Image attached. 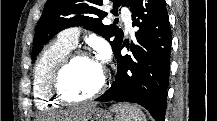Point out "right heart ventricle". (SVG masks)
I'll list each match as a JSON object with an SVG mask.
<instances>
[{
	"mask_svg": "<svg viewBox=\"0 0 217 121\" xmlns=\"http://www.w3.org/2000/svg\"><path fill=\"white\" fill-rule=\"evenodd\" d=\"M73 47L59 37L40 54L33 72V95L39 109L47 110L58 105L59 102L54 100L50 92V77L57 64Z\"/></svg>",
	"mask_w": 217,
	"mask_h": 121,
	"instance_id": "right-heart-ventricle-1",
	"label": "right heart ventricle"
}]
</instances>
